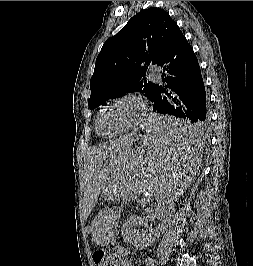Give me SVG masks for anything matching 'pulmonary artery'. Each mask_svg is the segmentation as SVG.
<instances>
[{"mask_svg":"<svg viewBox=\"0 0 253 266\" xmlns=\"http://www.w3.org/2000/svg\"><path fill=\"white\" fill-rule=\"evenodd\" d=\"M149 76L155 81L161 80V69L159 67L152 66L149 69Z\"/></svg>","mask_w":253,"mask_h":266,"instance_id":"pulmonary-artery-1","label":"pulmonary artery"}]
</instances>
